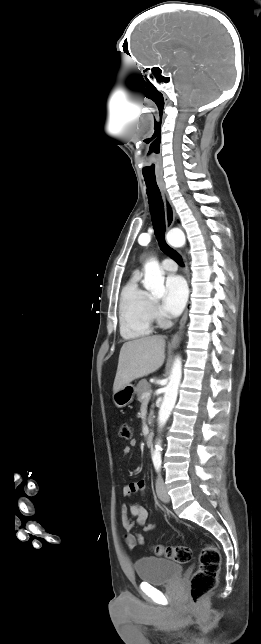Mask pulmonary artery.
Wrapping results in <instances>:
<instances>
[{"instance_id":"e3ab8cb5","label":"pulmonary artery","mask_w":261,"mask_h":644,"mask_svg":"<svg viewBox=\"0 0 261 644\" xmlns=\"http://www.w3.org/2000/svg\"><path fill=\"white\" fill-rule=\"evenodd\" d=\"M162 268H163L165 271H169V272H171V271H175V270H176L177 265H176V263H175L173 260H171V259H166V260H164V261L162 262Z\"/></svg>"}]
</instances>
